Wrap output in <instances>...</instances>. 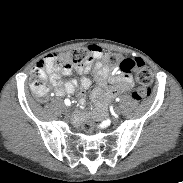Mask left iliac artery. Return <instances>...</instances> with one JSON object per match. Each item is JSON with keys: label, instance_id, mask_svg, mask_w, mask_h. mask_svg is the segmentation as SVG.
I'll list each match as a JSON object with an SVG mask.
<instances>
[{"label": "left iliac artery", "instance_id": "left-iliac-artery-1", "mask_svg": "<svg viewBox=\"0 0 183 183\" xmlns=\"http://www.w3.org/2000/svg\"><path fill=\"white\" fill-rule=\"evenodd\" d=\"M116 101L119 102L120 101V98H116Z\"/></svg>", "mask_w": 183, "mask_h": 183}]
</instances>
